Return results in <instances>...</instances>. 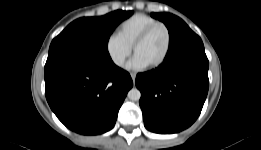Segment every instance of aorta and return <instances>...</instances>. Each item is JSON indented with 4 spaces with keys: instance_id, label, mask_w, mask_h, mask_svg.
<instances>
[{
    "instance_id": "aorta-1",
    "label": "aorta",
    "mask_w": 261,
    "mask_h": 150,
    "mask_svg": "<svg viewBox=\"0 0 261 150\" xmlns=\"http://www.w3.org/2000/svg\"><path fill=\"white\" fill-rule=\"evenodd\" d=\"M128 98L132 101H138L141 97V93L137 88H132L129 92H128Z\"/></svg>"
}]
</instances>
